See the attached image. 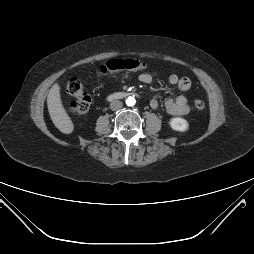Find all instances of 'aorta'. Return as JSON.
Masks as SVG:
<instances>
[{
  "label": "aorta",
  "mask_w": 254,
  "mask_h": 254,
  "mask_svg": "<svg viewBox=\"0 0 254 254\" xmlns=\"http://www.w3.org/2000/svg\"><path fill=\"white\" fill-rule=\"evenodd\" d=\"M125 102H126V105H127V106H134L135 103H136V100H135L134 97L129 96V97L126 99Z\"/></svg>",
  "instance_id": "762f6f07"
}]
</instances>
